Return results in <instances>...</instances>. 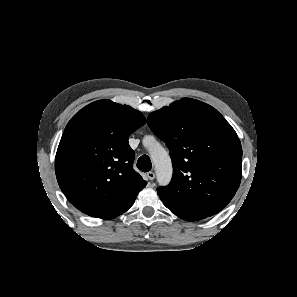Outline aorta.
<instances>
[{
  "label": "aorta",
  "instance_id": "obj_1",
  "mask_svg": "<svg viewBox=\"0 0 297 297\" xmlns=\"http://www.w3.org/2000/svg\"><path fill=\"white\" fill-rule=\"evenodd\" d=\"M144 143L148 144L150 158L156 170L158 183L163 186L169 184L173 169L168 152L152 136H147L144 139Z\"/></svg>",
  "mask_w": 297,
  "mask_h": 297
}]
</instances>
